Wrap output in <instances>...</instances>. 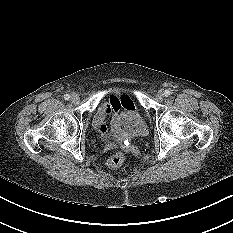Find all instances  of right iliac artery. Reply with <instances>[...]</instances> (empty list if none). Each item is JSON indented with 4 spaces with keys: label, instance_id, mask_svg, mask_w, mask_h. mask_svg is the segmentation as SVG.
I'll return each mask as SVG.
<instances>
[{
    "label": "right iliac artery",
    "instance_id": "right-iliac-artery-1",
    "mask_svg": "<svg viewBox=\"0 0 233 233\" xmlns=\"http://www.w3.org/2000/svg\"><path fill=\"white\" fill-rule=\"evenodd\" d=\"M64 99H65V100H69V99H70V95H69V94H65V95H64Z\"/></svg>",
    "mask_w": 233,
    "mask_h": 233
}]
</instances>
